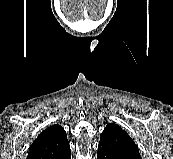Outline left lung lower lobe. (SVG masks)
Listing matches in <instances>:
<instances>
[{
	"mask_svg": "<svg viewBox=\"0 0 173 159\" xmlns=\"http://www.w3.org/2000/svg\"><path fill=\"white\" fill-rule=\"evenodd\" d=\"M97 159H130L128 157L117 154L105 146H98Z\"/></svg>",
	"mask_w": 173,
	"mask_h": 159,
	"instance_id": "obj_1",
	"label": "left lung lower lobe"
}]
</instances>
